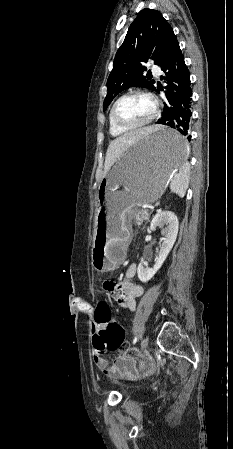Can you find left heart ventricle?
I'll return each mask as SVG.
<instances>
[{"instance_id": "1", "label": "left heart ventricle", "mask_w": 233, "mask_h": 449, "mask_svg": "<svg viewBox=\"0 0 233 449\" xmlns=\"http://www.w3.org/2000/svg\"><path fill=\"white\" fill-rule=\"evenodd\" d=\"M153 105L144 96H130L121 100L115 110L118 121L124 124H137L145 121L152 113Z\"/></svg>"}]
</instances>
